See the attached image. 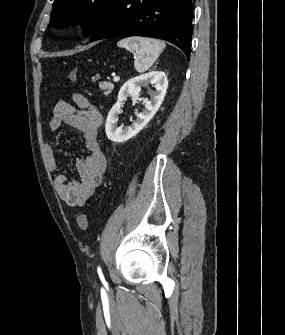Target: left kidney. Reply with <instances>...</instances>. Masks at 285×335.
I'll list each match as a JSON object with an SVG mask.
<instances>
[{"mask_svg": "<svg viewBox=\"0 0 285 335\" xmlns=\"http://www.w3.org/2000/svg\"><path fill=\"white\" fill-rule=\"evenodd\" d=\"M145 84H154L153 88H156L154 96H152L151 100L144 98L143 104H145V110H142V112L138 114L137 120L132 126H129V128L119 126L118 128V116L122 114L121 102L127 100L128 96H135V98L139 96L141 88L145 86ZM167 88L168 80L165 72H148V74H144V76H136V78H131V80L125 82L122 88H120L117 102L113 108H111L106 120L105 132L108 140L121 144V142H127L130 138L136 136L140 130H143L144 126L148 124L149 120L156 114L158 108H160Z\"/></svg>", "mask_w": 285, "mask_h": 335, "instance_id": "obj_1", "label": "left kidney"}]
</instances>
